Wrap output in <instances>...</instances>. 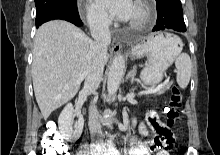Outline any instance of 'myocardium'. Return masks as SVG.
<instances>
[{
    "mask_svg": "<svg viewBox=\"0 0 220 155\" xmlns=\"http://www.w3.org/2000/svg\"><path fill=\"white\" fill-rule=\"evenodd\" d=\"M135 5L140 9L141 16L137 20L129 21L132 28H141L145 26L153 16V6L149 0H136Z\"/></svg>",
    "mask_w": 220,
    "mask_h": 155,
    "instance_id": "1",
    "label": "myocardium"
}]
</instances>
